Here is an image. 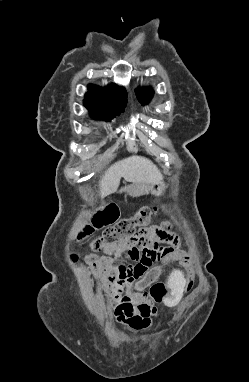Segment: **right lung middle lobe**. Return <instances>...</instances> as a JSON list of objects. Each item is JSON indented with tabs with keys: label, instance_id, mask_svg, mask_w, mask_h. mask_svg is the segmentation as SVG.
<instances>
[{
	"label": "right lung middle lobe",
	"instance_id": "right-lung-middle-lobe-1",
	"mask_svg": "<svg viewBox=\"0 0 249 382\" xmlns=\"http://www.w3.org/2000/svg\"><path fill=\"white\" fill-rule=\"evenodd\" d=\"M90 113L95 117V118H113L115 117L116 115H119L120 112H123L124 111V108L120 111H116V112H109V111H106V110H102V109H98V108H88Z\"/></svg>",
	"mask_w": 249,
	"mask_h": 382
}]
</instances>
